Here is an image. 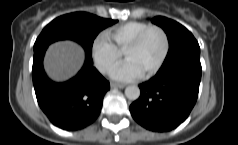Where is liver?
<instances>
[{
  "label": "liver",
  "instance_id": "6515ba94",
  "mask_svg": "<svg viewBox=\"0 0 238 145\" xmlns=\"http://www.w3.org/2000/svg\"><path fill=\"white\" fill-rule=\"evenodd\" d=\"M84 62V51L72 41H61L50 45L45 57V70L55 81L72 77Z\"/></svg>",
  "mask_w": 238,
  "mask_h": 145
}]
</instances>
